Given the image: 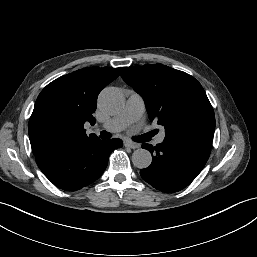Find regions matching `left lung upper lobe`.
I'll return each mask as SVG.
<instances>
[{"mask_svg": "<svg viewBox=\"0 0 257 257\" xmlns=\"http://www.w3.org/2000/svg\"><path fill=\"white\" fill-rule=\"evenodd\" d=\"M123 80L139 93L149 119L165 127V138L214 136L215 115L201 84L162 64L123 67Z\"/></svg>", "mask_w": 257, "mask_h": 257, "instance_id": "5c2ea615", "label": "left lung upper lobe"}]
</instances>
